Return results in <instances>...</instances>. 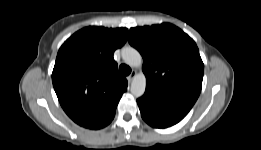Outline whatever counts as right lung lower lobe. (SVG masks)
<instances>
[{
  "label": "right lung lower lobe",
  "instance_id": "98d812e1",
  "mask_svg": "<svg viewBox=\"0 0 261 150\" xmlns=\"http://www.w3.org/2000/svg\"><path fill=\"white\" fill-rule=\"evenodd\" d=\"M115 110L116 108H114L106 117H104L102 120H100L99 122L87 127L90 129H100L103 128L105 126H107L114 118L115 115Z\"/></svg>",
  "mask_w": 261,
  "mask_h": 150
}]
</instances>
